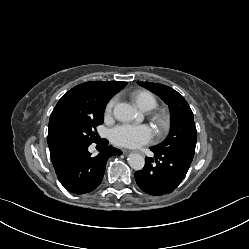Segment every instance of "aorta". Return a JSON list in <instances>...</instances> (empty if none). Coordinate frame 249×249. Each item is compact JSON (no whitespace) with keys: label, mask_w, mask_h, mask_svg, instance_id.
<instances>
[{"label":"aorta","mask_w":249,"mask_h":249,"mask_svg":"<svg viewBox=\"0 0 249 249\" xmlns=\"http://www.w3.org/2000/svg\"><path fill=\"white\" fill-rule=\"evenodd\" d=\"M113 115L117 120L127 122L135 118L136 110L127 103H118L113 109ZM127 160L134 170H141L145 165L144 157L137 153L130 154Z\"/></svg>","instance_id":"762f6f07"}]
</instances>
